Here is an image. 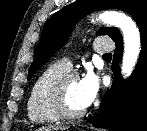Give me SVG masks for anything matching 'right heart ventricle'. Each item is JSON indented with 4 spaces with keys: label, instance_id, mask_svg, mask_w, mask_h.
Segmentation results:
<instances>
[{
    "label": "right heart ventricle",
    "instance_id": "e07e8e85",
    "mask_svg": "<svg viewBox=\"0 0 147 131\" xmlns=\"http://www.w3.org/2000/svg\"><path fill=\"white\" fill-rule=\"evenodd\" d=\"M70 71L61 62H54L44 68L35 79L27 101L28 118L37 124H50L60 120L50 100L53 83Z\"/></svg>",
    "mask_w": 147,
    "mask_h": 131
}]
</instances>
